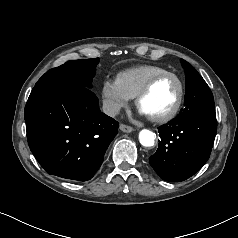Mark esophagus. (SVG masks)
<instances>
[{
  "label": "esophagus",
  "instance_id": "1",
  "mask_svg": "<svg viewBox=\"0 0 238 238\" xmlns=\"http://www.w3.org/2000/svg\"><path fill=\"white\" fill-rule=\"evenodd\" d=\"M119 128H120L121 131H123L125 133H130L134 130L131 126H128V125H125V124H120Z\"/></svg>",
  "mask_w": 238,
  "mask_h": 238
}]
</instances>
